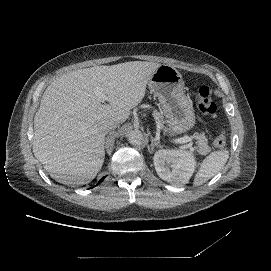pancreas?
I'll return each mask as SVG.
<instances>
[{"label":"pancreas","mask_w":271,"mask_h":271,"mask_svg":"<svg viewBox=\"0 0 271 271\" xmlns=\"http://www.w3.org/2000/svg\"><path fill=\"white\" fill-rule=\"evenodd\" d=\"M153 116L160 124V128L167 131L166 128L164 127V123H165L164 117L156 111H154ZM193 136L197 140L198 153L201 155H207L211 151V148L208 145V140L205 137V133H197L196 132Z\"/></svg>","instance_id":"pancreas-1"}]
</instances>
